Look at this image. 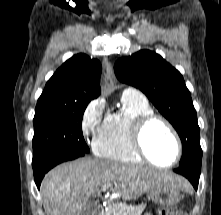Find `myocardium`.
I'll return each mask as SVG.
<instances>
[{"mask_svg":"<svg viewBox=\"0 0 221 215\" xmlns=\"http://www.w3.org/2000/svg\"><path fill=\"white\" fill-rule=\"evenodd\" d=\"M154 121H158L160 123H162L170 132V134L172 135L175 144H176V156L174 158V160L166 165H161L156 163L146 152L144 144H143V136L144 133L147 129V127ZM130 142L132 145V148L134 149V151L146 162H148L149 164L159 167V168H163V169H167V168H171L173 166H175L182 155V143L180 140V137L177 133V131L175 130V128L173 127V125L163 116L156 114L154 112H149L146 114H143L139 117H137L131 124L130 127Z\"/></svg>","mask_w":221,"mask_h":215,"instance_id":"myocardium-1","label":"myocardium"}]
</instances>
